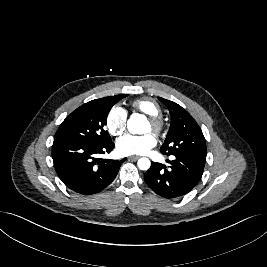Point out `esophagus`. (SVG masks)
Segmentation results:
<instances>
[{"label": "esophagus", "mask_w": 267, "mask_h": 267, "mask_svg": "<svg viewBox=\"0 0 267 267\" xmlns=\"http://www.w3.org/2000/svg\"><path fill=\"white\" fill-rule=\"evenodd\" d=\"M139 158V156H130L128 157L129 160L136 161Z\"/></svg>", "instance_id": "obj_1"}]
</instances>
